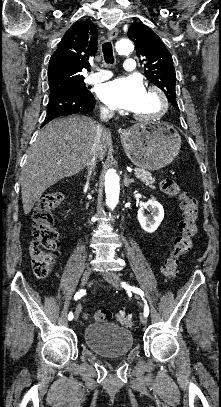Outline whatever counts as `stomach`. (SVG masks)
I'll use <instances>...</instances> for the list:
<instances>
[{
  "instance_id": "stomach-1",
  "label": "stomach",
  "mask_w": 221,
  "mask_h": 407,
  "mask_svg": "<svg viewBox=\"0 0 221 407\" xmlns=\"http://www.w3.org/2000/svg\"><path fill=\"white\" fill-rule=\"evenodd\" d=\"M121 141L126 155L141 169L159 170L178 155L181 137L168 123H138L124 131Z\"/></svg>"
}]
</instances>
